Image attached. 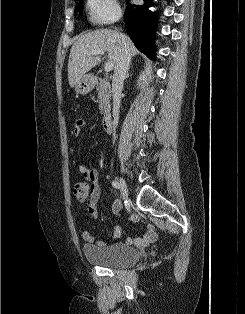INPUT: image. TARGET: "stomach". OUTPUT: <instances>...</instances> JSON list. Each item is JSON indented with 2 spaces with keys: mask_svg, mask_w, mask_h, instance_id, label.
<instances>
[{
  "mask_svg": "<svg viewBox=\"0 0 245 314\" xmlns=\"http://www.w3.org/2000/svg\"><path fill=\"white\" fill-rule=\"evenodd\" d=\"M94 87V78L90 75H83L75 85V90L77 93L86 95Z\"/></svg>",
  "mask_w": 245,
  "mask_h": 314,
  "instance_id": "0dacf381",
  "label": "stomach"
}]
</instances>
